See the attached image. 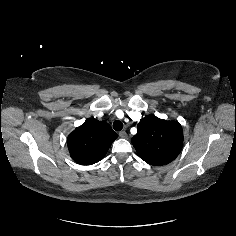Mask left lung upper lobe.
I'll use <instances>...</instances> for the list:
<instances>
[{
  "label": "left lung upper lobe",
  "instance_id": "left-lung-upper-lobe-1",
  "mask_svg": "<svg viewBox=\"0 0 236 236\" xmlns=\"http://www.w3.org/2000/svg\"><path fill=\"white\" fill-rule=\"evenodd\" d=\"M132 144L148 164L164 165L173 161L183 145V131L176 121H166L154 115L140 120Z\"/></svg>",
  "mask_w": 236,
  "mask_h": 236
}]
</instances>
